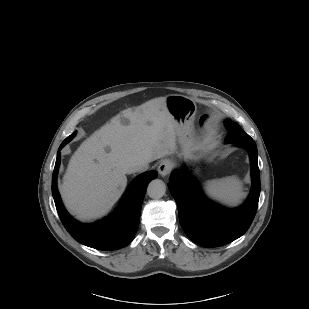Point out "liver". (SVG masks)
<instances>
[{
  "instance_id": "obj_1",
  "label": "liver",
  "mask_w": 309,
  "mask_h": 309,
  "mask_svg": "<svg viewBox=\"0 0 309 309\" xmlns=\"http://www.w3.org/2000/svg\"><path fill=\"white\" fill-rule=\"evenodd\" d=\"M176 135L163 97L113 117L69 161L60 187L68 211L80 220L103 216L122 195L130 167L173 154Z\"/></svg>"
}]
</instances>
